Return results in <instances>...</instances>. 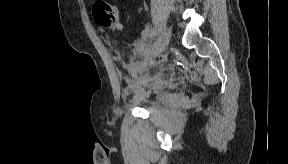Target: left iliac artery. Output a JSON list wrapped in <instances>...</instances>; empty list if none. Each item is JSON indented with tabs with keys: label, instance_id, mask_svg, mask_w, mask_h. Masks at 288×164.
<instances>
[{
	"label": "left iliac artery",
	"instance_id": "left-iliac-artery-1",
	"mask_svg": "<svg viewBox=\"0 0 288 164\" xmlns=\"http://www.w3.org/2000/svg\"><path fill=\"white\" fill-rule=\"evenodd\" d=\"M156 44H157V40H154V42L148 47V49L144 55L145 58H149L152 55Z\"/></svg>",
	"mask_w": 288,
	"mask_h": 164
}]
</instances>
